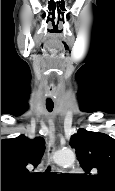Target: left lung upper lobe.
<instances>
[{"instance_id":"obj_1","label":"left lung upper lobe","mask_w":115,"mask_h":191,"mask_svg":"<svg viewBox=\"0 0 115 191\" xmlns=\"http://www.w3.org/2000/svg\"><path fill=\"white\" fill-rule=\"evenodd\" d=\"M85 176L105 191H115V140L109 135L79 129L71 137Z\"/></svg>"}]
</instances>
